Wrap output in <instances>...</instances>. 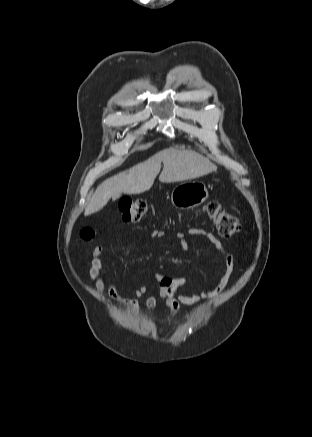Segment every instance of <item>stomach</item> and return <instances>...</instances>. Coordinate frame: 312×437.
I'll use <instances>...</instances> for the list:
<instances>
[{
  "label": "stomach",
  "mask_w": 312,
  "mask_h": 437,
  "mask_svg": "<svg viewBox=\"0 0 312 437\" xmlns=\"http://www.w3.org/2000/svg\"><path fill=\"white\" fill-rule=\"evenodd\" d=\"M208 198V190L203 182L186 181L177 185L171 193V203L180 210H188L201 205Z\"/></svg>",
  "instance_id": "1"
}]
</instances>
